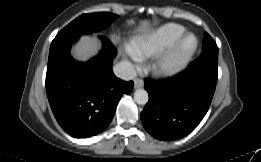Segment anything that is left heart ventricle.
Instances as JSON below:
<instances>
[{
  "mask_svg": "<svg viewBox=\"0 0 261 162\" xmlns=\"http://www.w3.org/2000/svg\"><path fill=\"white\" fill-rule=\"evenodd\" d=\"M191 43V39H189L188 41H187V45H189Z\"/></svg>",
  "mask_w": 261,
  "mask_h": 162,
  "instance_id": "b2bd125f",
  "label": "left heart ventricle"
}]
</instances>
